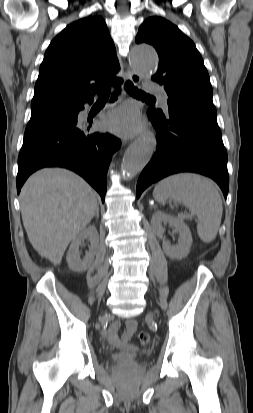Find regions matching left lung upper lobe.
<instances>
[{"label": "left lung upper lobe", "mask_w": 253, "mask_h": 413, "mask_svg": "<svg viewBox=\"0 0 253 413\" xmlns=\"http://www.w3.org/2000/svg\"><path fill=\"white\" fill-rule=\"evenodd\" d=\"M136 42L155 47L159 68L151 79L164 86L169 108L186 106L216 114L203 59L194 43L177 26L162 17H150L140 26ZM151 110L163 114L160 109Z\"/></svg>", "instance_id": "5c2ea615"}]
</instances>
